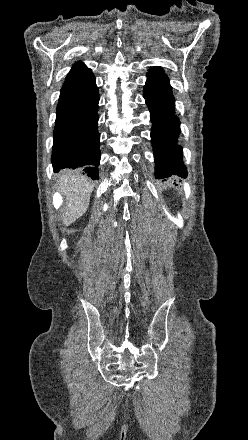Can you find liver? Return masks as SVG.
<instances>
[{
	"mask_svg": "<svg viewBox=\"0 0 248 440\" xmlns=\"http://www.w3.org/2000/svg\"><path fill=\"white\" fill-rule=\"evenodd\" d=\"M58 183L66 201L63 224L68 226L86 212L93 184L88 178L72 170H63Z\"/></svg>",
	"mask_w": 248,
	"mask_h": 440,
	"instance_id": "liver-1",
	"label": "liver"
}]
</instances>
